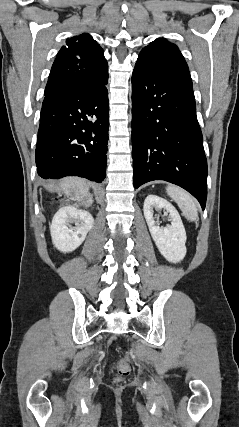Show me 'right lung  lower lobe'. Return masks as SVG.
I'll return each mask as SVG.
<instances>
[{"instance_id": "98d812e1", "label": "right lung lower lobe", "mask_w": 239, "mask_h": 427, "mask_svg": "<svg viewBox=\"0 0 239 427\" xmlns=\"http://www.w3.org/2000/svg\"><path fill=\"white\" fill-rule=\"evenodd\" d=\"M108 72L94 80L72 81L45 93L35 152L38 175L106 176L109 103Z\"/></svg>"}]
</instances>
